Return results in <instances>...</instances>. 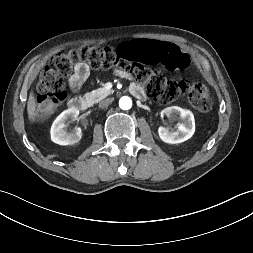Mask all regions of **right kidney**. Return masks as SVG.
<instances>
[{"label": "right kidney", "mask_w": 253, "mask_h": 253, "mask_svg": "<svg viewBox=\"0 0 253 253\" xmlns=\"http://www.w3.org/2000/svg\"><path fill=\"white\" fill-rule=\"evenodd\" d=\"M79 115V110L69 108L63 111L53 122L50 130L51 140L59 145H73L78 143L82 138L80 128H74L72 131L67 130L66 121L75 120Z\"/></svg>", "instance_id": "ca27d5eb"}]
</instances>
